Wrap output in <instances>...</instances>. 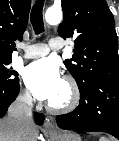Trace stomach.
Segmentation results:
<instances>
[{"instance_id": "obj_1", "label": "stomach", "mask_w": 119, "mask_h": 141, "mask_svg": "<svg viewBox=\"0 0 119 141\" xmlns=\"http://www.w3.org/2000/svg\"><path fill=\"white\" fill-rule=\"evenodd\" d=\"M52 141H82L80 136L74 132H64L51 136Z\"/></svg>"}]
</instances>
